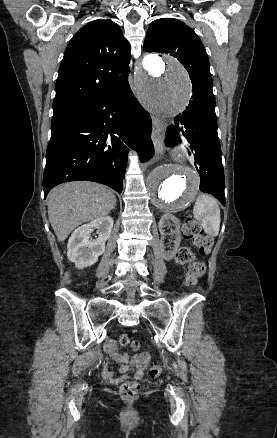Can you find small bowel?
<instances>
[{
  "instance_id": "c3829d8e",
  "label": "small bowel",
  "mask_w": 277,
  "mask_h": 438,
  "mask_svg": "<svg viewBox=\"0 0 277 438\" xmlns=\"http://www.w3.org/2000/svg\"><path fill=\"white\" fill-rule=\"evenodd\" d=\"M105 347L109 350L106 352V355L109 357H114V359L120 363V371L126 377L130 374H141L150 359L148 353H141L132 358H129L127 355L120 354L117 352V344L115 342L108 341L106 342ZM105 365H108V362H105ZM104 377L109 380L113 379V375L109 371L104 372Z\"/></svg>"
}]
</instances>
